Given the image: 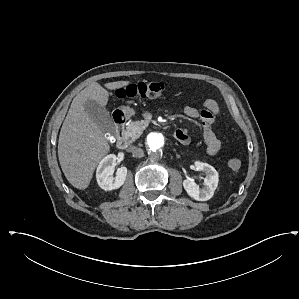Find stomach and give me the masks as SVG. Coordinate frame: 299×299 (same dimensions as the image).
Segmentation results:
<instances>
[{"label": "stomach", "mask_w": 299, "mask_h": 299, "mask_svg": "<svg viewBox=\"0 0 299 299\" xmlns=\"http://www.w3.org/2000/svg\"><path fill=\"white\" fill-rule=\"evenodd\" d=\"M119 110L122 112L124 117L127 118V119L135 114L134 109H132L129 106H121V107H119Z\"/></svg>", "instance_id": "stomach-1"}]
</instances>
